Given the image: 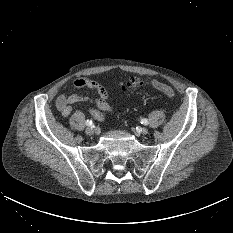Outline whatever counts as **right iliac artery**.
Here are the masks:
<instances>
[{"label": "right iliac artery", "instance_id": "1", "mask_svg": "<svg viewBox=\"0 0 233 233\" xmlns=\"http://www.w3.org/2000/svg\"><path fill=\"white\" fill-rule=\"evenodd\" d=\"M85 124H86L87 126H91V125L93 124V122H92L91 120H86Z\"/></svg>", "mask_w": 233, "mask_h": 233}]
</instances>
